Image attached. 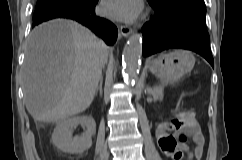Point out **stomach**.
I'll return each instance as SVG.
<instances>
[{
    "label": "stomach",
    "instance_id": "1",
    "mask_svg": "<svg viewBox=\"0 0 242 160\" xmlns=\"http://www.w3.org/2000/svg\"><path fill=\"white\" fill-rule=\"evenodd\" d=\"M195 57L190 51L176 50L172 53L160 55L150 64V71L163 83L176 80L192 70Z\"/></svg>",
    "mask_w": 242,
    "mask_h": 160
}]
</instances>
